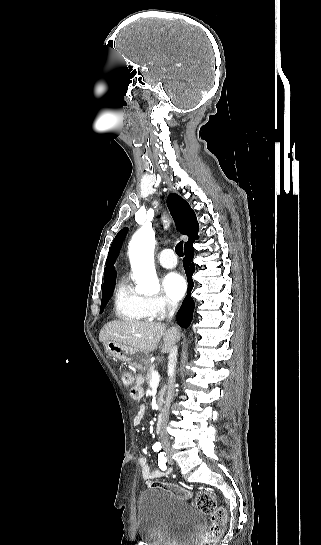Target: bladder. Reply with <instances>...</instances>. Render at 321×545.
<instances>
[{"instance_id":"obj_1","label":"bladder","mask_w":321,"mask_h":545,"mask_svg":"<svg viewBox=\"0 0 321 545\" xmlns=\"http://www.w3.org/2000/svg\"><path fill=\"white\" fill-rule=\"evenodd\" d=\"M205 514L163 488L142 492L137 530L147 545H191L204 530Z\"/></svg>"}]
</instances>
